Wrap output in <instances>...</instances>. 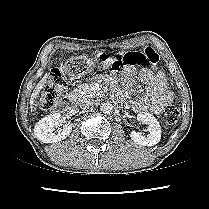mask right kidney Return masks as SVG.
<instances>
[{"label": "right kidney", "instance_id": "1", "mask_svg": "<svg viewBox=\"0 0 209 209\" xmlns=\"http://www.w3.org/2000/svg\"><path fill=\"white\" fill-rule=\"evenodd\" d=\"M62 123L61 114L55 112L42 118L34 128L35 137L43 143H55L66 139L71 131L72 125L64 123L62 130L58 134L53 133L55 127H58Z\"/></svg>", "mask_w": 209, "mask_h": 209}]
</instances>
